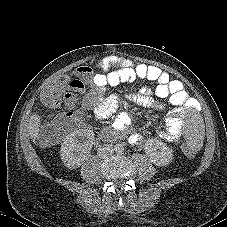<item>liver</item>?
Segmentation results:
<instances>
[{
  "label": "liver",
  "instance_id": "obj_1",
  "mask_svg": "<svg viewBox=\"0 0 227 227\" xmlns=\"http://www.w3.org/2000/svg\"><path fill=\"white\" fill-rule=\"evenodd\" d=\"M39 126H40V117L36 114H33L28 123V132L31 137V139L35 142L38 132H39Z\"/></svg>",
  "mask_w": 227,
  "mask_h": 227
}]
</instances>
